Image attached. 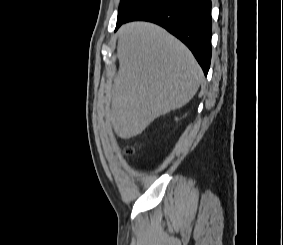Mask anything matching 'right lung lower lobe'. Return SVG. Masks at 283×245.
I'll list each match as a JSON object with an SVG mask.
<instances>
[{
	"mask_svg": "<svg viewBox=\"0 0 283 245\" xmlns=\"http://www.w3.org/2000/svg\"><path fill=\"white\" fill-rule=\"evenodd\" d=\"M154 22L184 42L207 75L211 61V0H148L125 22Z\"/></svg>",
	"mask_w": 283,
	"mask_h": 245,
	"instance_id": "obj_1",
	"label": "right lung lower lobe"
}]
</instances>
